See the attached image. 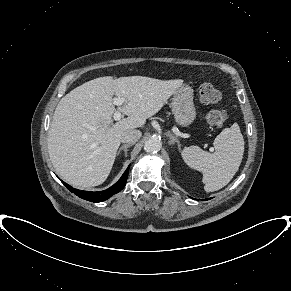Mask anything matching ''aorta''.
Instances as JSON below:
<instances>
[{
  "label": "aorta",
  "mask_w": 291,
  "mask_h": 291,
  "mask_svg": "<svg viewBox=\"0 0 291 291\" xmlns=\"http://www.w3.org/2000/svg\"><path fill=\"white\" fill-rule=\"evenodd\" d=\"M162 147V142L157 137L149 138L144 144V150L147 153H157Z\"/></svg>",
  "instance_id": "aorta-1"
}]
</instances>
